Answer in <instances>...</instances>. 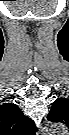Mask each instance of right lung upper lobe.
<instances>
[{
  "mask_svg": "<svg viewBox=\"0 0 69 135\" xmlns=\"http://www.w3.org/2000/svg\"><path fill=\"white\" fill-rule=\"evenodd\" d=\"M0 120L3 135H32L37 130L33 120L12 103L0 107Z\"/></svg>",
  "mask_w": 69,
  "mask_h": 135,
  "instance_id": "right-lung-upper-lobe-1",
  "label": "right lung upper lobe"
}]
</instances>
